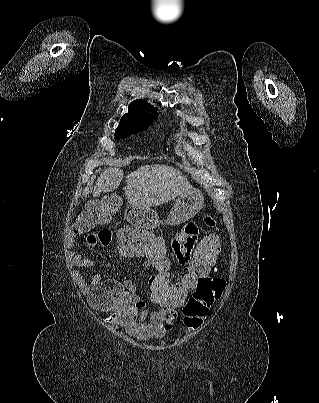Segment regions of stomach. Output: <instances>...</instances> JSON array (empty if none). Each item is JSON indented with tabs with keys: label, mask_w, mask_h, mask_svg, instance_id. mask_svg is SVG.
<instances>
[{
	"label": "stomach",
	"mask_w": 319,
	"mask_h": 403,
	"mask_svg": "<svg viewBox=\"0 0 319 403\" xmlns=\"http://www.w3.org/2000/svg\"><path fill=\"white\" fill-rule=\"evenodd\" d=\"M204 197L200 190L191 189L180 195L170 211L166 223L178 225L194 217L202 208ZM127 223L132 226H141L148 233H156L160 228V219L157 212L144 207H130L126 210Z\"/></svg>",
	"instance_id": "0dacf381"
}]
</instances>
